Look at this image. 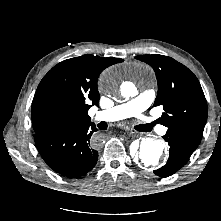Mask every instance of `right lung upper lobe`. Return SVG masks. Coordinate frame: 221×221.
I'll use <instances>...</instances> for the list:
<instances>
[{"mask_svg":"<svg viewBox=\"0 0 221 221\" xmlns=\"http://www.w3.org/2000/svg\"><path fill=\"white\" fill-rule=\"evenodd\" d=\"M90 54L64 60L41 80L32 102L36 133L59 126L90 123L88 110L98 106L97 81L107 67L122 62Z\"/></svg>","mask_w":221,"mask_h":221,"instance_id":"obj_1","label":"right lung upper lobe"}]
</instances>
